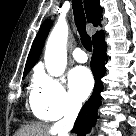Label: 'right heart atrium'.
I'll list each match as a JSON object with an SVG mask.
<instances>
[{
    "instance_id": "1",
    "label": "right heart atrium",
    "mask_w": 136,
    "mask_h": 136,
    "mask_svg": "<svg viewBox=\"0 0 136 136\" xmlns=\"http://www.w3.org/2000/svg\"><path fill=\"white\" fill-rule=\"evenodd\" d=\"M32 110L46 120H57L79 109L61 79L43 73L36 76L30 98Z\"/></svg>"
}]
</instances>
